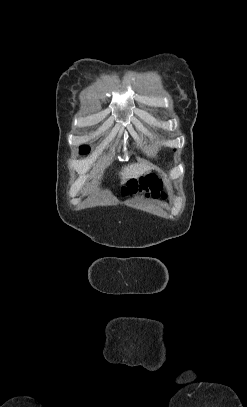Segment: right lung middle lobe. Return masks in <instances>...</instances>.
<instances>
[{"label": "right lung middle lobe", "mask_w": 247, "mask_h": 407, "mask_svg": "<svg viewBox=\"0 0 247 407\" xmlns=\"http://www.w3.org/2000/svg\"><path fill=\"white\" fill-rule=\"evenodd\" d=\"M80 153L81 154L89 153V147L88 146H81L80 147Z\"/></svg>", "instance_id": "1"}]
</instances>
